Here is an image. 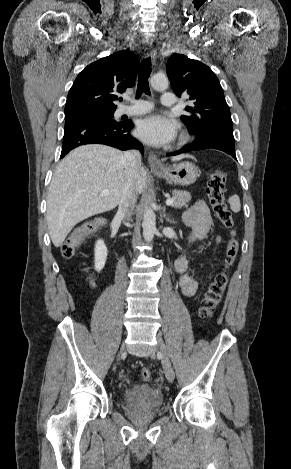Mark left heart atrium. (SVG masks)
<instances>
[{"mask_svg":"<svg viewBox=\"0 0 291 469\" xmlns=\"http://www.w3.org/2000/svg\"><path fill=\"white\" fill-rule=\"evenodd\" d=\"M136 132L137 136L144 142L154 146H162L175 138L177 124L162 115L152 114L138 123Z\"/></svg>","mask_w":291,"mask_h":469,"instance_id":"39dd6f15","label":"left heart atrium"}]
</instances>
